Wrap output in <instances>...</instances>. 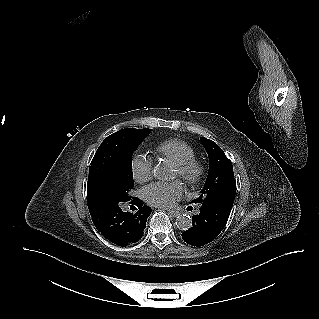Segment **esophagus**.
<instances>
[{"mask_svg":"<svg viewBox=\"0 0 319 319\" xmlns=\"http://www.w3.org/2000/svg\"><path fill=\"white\" fill-rule=\"evenodd\" d=\"M167 213L172 217H177L179 215V212L175 210H167Z\"/></svg>","mask_w":319,"mask_h":319,"instance_id":"1","label":"esophagus"}]
</instances>
